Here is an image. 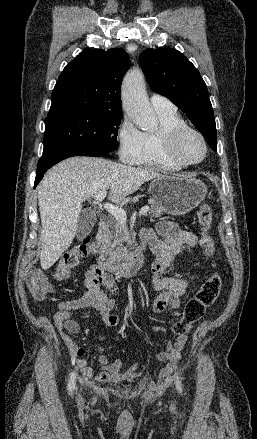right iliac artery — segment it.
Masks as SVG:
<instances>
[{"label":"right iliac artery","instance_id":"obj_1","mask_svg":"<svg viewBox=\"0 0 257 439\" xmlns=\"http://www.w3.org/2000/svg\"><path fill=\"white\" fill-rule=\"evenodd\" d=\"M75 380H76L75 373H72V375L70 376V379H69V383H68V390L71 393L75 389Z\"/></svg>","mask_w":257,"mask_h":439}]
</instances>
